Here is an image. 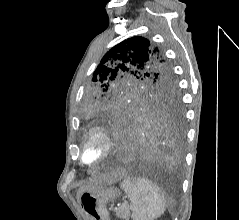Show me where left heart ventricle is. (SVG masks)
<instances>
[{"instance_id": "b2bd125f", "label": "left heart ventricle", "mask_w": 239, "mask_h": 220, "mask_svg": "<svg viewBox=\"0 0 239 220\" xmlns=\"http://www.w3.org/2000/svg\"><path fill=\"white\" fill-rule=\"evenodd\" d=\"M101 152V144L98 140L91 141L85 149L84 157L86 160L91 161L96 159Z\"/></svg>"}]
</instances>
